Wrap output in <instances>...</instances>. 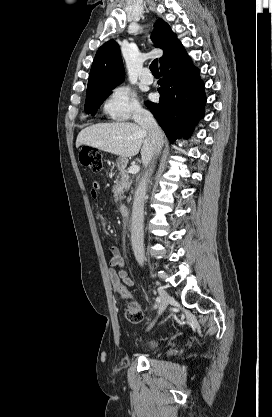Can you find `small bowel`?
Listing matches in <instances>:
<instances>
[{"label":"small bowel","mask_w":272,"mask_h":417,"mask_svg":"<svg viewBox=\"0 0 272 417\" xmlns=\"http://www.w3.org/2000/svg\"><path fill=\"white\" fill-rule=\"evenodd\" d=\"M100 184L97 181L92 183V188L90 191V195L93 199L98 198ZM109 252L111 254L110 259V266L111 269L109 271L110 279L115 287L116 283H122L126 287L134 286V280L128 275V272L125 268V260L121 255V252L117 246H111L109 248ZM115 289V288H114Z\"/></svg>","instance_id":"c3829d8e"}]
</instances>
